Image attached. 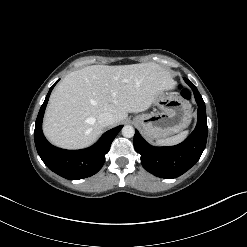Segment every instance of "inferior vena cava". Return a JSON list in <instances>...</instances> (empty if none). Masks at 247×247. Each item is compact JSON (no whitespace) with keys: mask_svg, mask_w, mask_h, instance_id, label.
Instances as JSON below:
<instances>
[{"mask_svg":"<svg viewBox=\"0 0 247 247\" xmlns=\"http://www.w3.org/2000/svg\"><path fill=\"white\" fill-rule=\"evenodd\" d=\"M98 122L103 127H107L113 125L115 122L114 116L111 113L104 112L99 115Z\"/></svg>","mask_w":247,"mask_h":247,"instance_id":"1","label":"inferior vena cava"}]
</instances>
